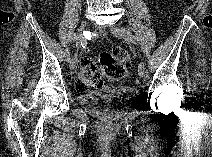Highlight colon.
<instances>
[{"label":"colon","mask_w":212,"mask_h":157,"mask_svg":"<svg viewBox=\"0 0 212 157\" xmlns=\"http://www.w3.org/2000/svg\"><path fill=\"white\" fill-rule=\"evenodd\" d=\"M130 58L122 48L104 51L100 55L99 65L89 60L80 69L77 89L85 90L90 87H100L104 81H118L127 73Z\"/></svg>","instance_id":"1"}]
</instances>
